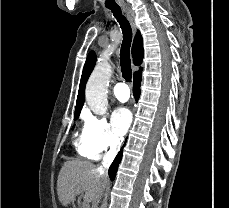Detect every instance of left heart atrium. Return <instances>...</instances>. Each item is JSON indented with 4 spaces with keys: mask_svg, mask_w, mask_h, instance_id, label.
Listing matches in <instances>:
<instances>
[{
    "mask_svg": "<svg viewBox=\"0 0 229 208\" xmlns=\"http://www.w3.org/2000/svg\"><path fill=\"white\" fill-rule=\"evenodd\" d=\"M132 123L131 111L126 107L117 108L112 114V126L115 133L122 137L128 131Z\"/></svg>",
    "mask_w": 229,
    "mask_h": 208,
    "instance_id": "obj_1",
    "label": "left heart atrium"
}]
</instances>
